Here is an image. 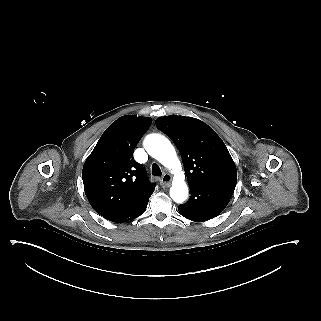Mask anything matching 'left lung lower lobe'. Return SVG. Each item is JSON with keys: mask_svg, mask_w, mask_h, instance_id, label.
<instances>
[{"mask_svg": "<svg viewBox=\"0 0 321 321\" xmlns=\"http://www.w3.org/2000/svg\"><path fill=\"white\" fill-rule=\"evenodd\" d=\"M236 181H215L189 185L191 197L178 207L185 218L203 222L219 215L228 205Z\"/></svg>", "mask_w": 321, "mask_h": 321, "instance_id": "obj_1", "label": "left lung lower lobe"}]
</instances>
